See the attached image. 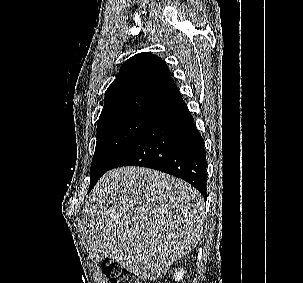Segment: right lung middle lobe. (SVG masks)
I'll return each mask as SVG.
<instances>
[{
    "label": "right lung middle lobe",
    "instance_id": "right-lung-middle-lobe-1",
    "mask_svg": "<svg viewBox=\"0 0 303 283\" xmlns=\"http://www.w3.org/2000/svg\"><path fill=\"white\" fill-rule=\"evenodd\" d=\"M154 119L146 114H124L98 121L89 191Z\"/></svg>",
    "mask_w": 303,
    "mask_h": 283
}]
</instances>
